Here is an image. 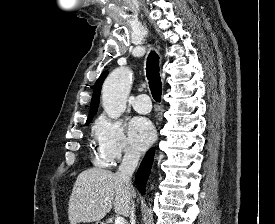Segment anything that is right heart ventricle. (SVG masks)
I'll list each match as a JSON object with an SVG mask.
<instances>
[{
	"label": "right heart ventricle",
	"mask_w": 275,
	"mask_h": 224,
	"mask_svg": "<svg viewBox=\"0 0 275 224\" xmlns=\"http://www.w3.org/2000/svg\"><path fill=\"white\" fill-rule=\"evenodd\" d=\"M94 162L96 165L101 167L108 166L110 163V161L106 158V156L99 150L94 155Z\"/></svg>",
	"instance_id": "obj_1"
}]
</instances>
